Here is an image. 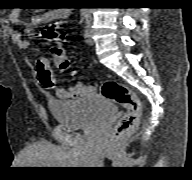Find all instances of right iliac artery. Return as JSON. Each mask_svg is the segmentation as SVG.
Segmentation results:
<instances>
[{"label": "right iliac artery", "mask_w": 192, "mask_h": 180, "mask_svg": "<svg viewBox=\"0 0 192 180\" xmlns=\"http://www.w3.org/2000/svg\"><path fill=\"white\" fill-rule=\"evenodd\" d=\"M88 17V14L83 12L81 15V19H80V24H82V22L84 21V19H86Z\"/></svg>", "instance_id": "right-iliac-artery-1"}]
</instances>
